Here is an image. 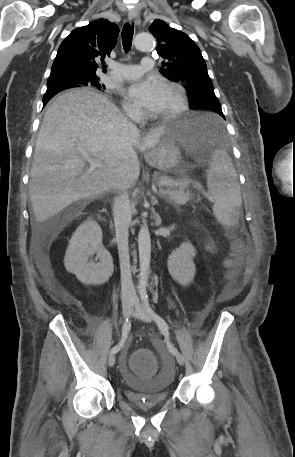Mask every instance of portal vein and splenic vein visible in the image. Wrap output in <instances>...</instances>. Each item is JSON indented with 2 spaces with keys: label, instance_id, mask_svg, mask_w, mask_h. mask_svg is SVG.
Instances as JSON below:
<instances>
[{
  "label": "portal vein and splenic vein",
  "instance_id": "portal-vein-and-splenic-vein-1",
  "mask_svg": "<svg viewBox=\"0 0 295 457\" xmlns=\"http://www.w3.org/2000/svg\"><path fill=\"white\" fill-rule=\"evenodd\" d=\"M84 158L90 163V166L92 168H103V162L98 159H94L89 157L88 155H84ZM186 182H191L190 179H184V180H171V179H163L159 181L158 186H172V185H180Z\"/></svg>",
  "mask_w": 295,
  "mask_h": 457
}]
</instances>
